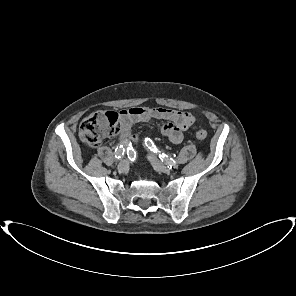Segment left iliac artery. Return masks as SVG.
Segmentation results:
<instances>
[{"label": "left iliac artery", "instance_id": "44dca946", "mask_svg": "<svg viewBox=\"0 0 296 296\" xmlns=\"http://www.w3.org/2000/svg\"><path fill=\"white\" fill-rule=\"evenodd\" d=\"M145 145L155 154H158L160 159L167 165V167L171 168H177V163L174 159L169 158L166 154L161 153V151L158 149V147L153 143V141L150 138L145 139Z\"/></svg>", "mask_w": 296, "mask_h": 296}]
</instances>
